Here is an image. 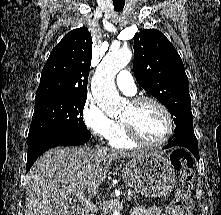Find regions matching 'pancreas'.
<instances>
[{"label":"pancreas","instance_id":"1","mask_svg":"<svg viewBox=\"0 0 221 215\" xmlns=\"http://www.w3.org/2000/svg\"><path fill=\"white\" fill-rule=\"evenodd\" d=\"M131 199H133V202L136 206L140 205L143 200L141 199V197H139L135 192H132L131 194ZM94 212H96V209L91 210V214L90 215H94ZM102 215V214H101Z\"/></svg>","mask_w":221,"mask_h":215}]
</instances>
